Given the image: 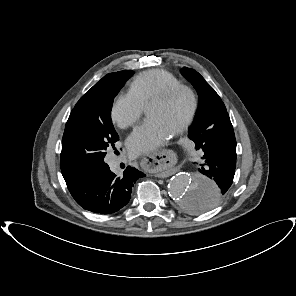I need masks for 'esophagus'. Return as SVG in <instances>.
I'll use <instances>...</instances> for the list:
<instances>
[{
	"label": "esophagus",
	"instance_id": "obj_1",
	"mask_svg": "<svg viewBox=\"0 0 296 296\" xmlns=\"http://www.w3.org/2000/svg\"><path fill=\"white\" fill-rule=\"evenodd\" d=\"M183 160V151L178 146H168L164 151H154L145 158V168L153 175L169 172L173 165Z\"/></svg>",
	"mask_w": 296,
	"mask_h": 296
}]
</instances>
